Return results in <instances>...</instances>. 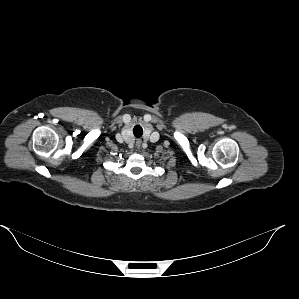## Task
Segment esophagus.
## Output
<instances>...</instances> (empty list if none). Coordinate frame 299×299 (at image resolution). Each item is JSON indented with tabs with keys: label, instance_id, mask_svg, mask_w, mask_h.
<instances>
[{
	"label": "esophagus",
	"instance_id": "obj_1",
	"mask_svg": "<svg viewBox=\"0 0 299 299\" xmlns=\"http://www.w3.org/2000/svg\"><path fill=\"white\" fill-rule=\"evenodd\" d=\"M136 145H137V147L139 148V147H140V145H141V141H140V140H138V141L136 142Z\"/></svg>",
	"mask_w": 299,
	"mask_h": 299
}]
</instances>
